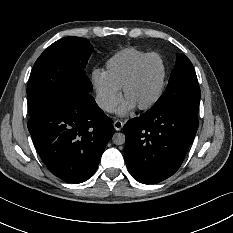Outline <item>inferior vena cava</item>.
Here are the masks:
<instances>
[{
    "mask_svg": "<svg viewBox=\"0 0 233 233\" xmlns=\"http://www.w3.org/2000/svg\"><path fill=\"white\" fill-rule=\"evenodd\" d=\"M97 104L102 110L110 112L116 109L119 103L118 101H111L106 98H99L97 99Z\"/></svg>",
    "mask_w": 233,
    "mask_h": 233,
    "instance_id": "obj_1",
    "label": "inferior vena cava"
}]
</instances>
